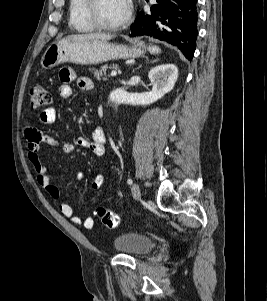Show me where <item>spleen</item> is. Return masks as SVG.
I'll use <instances>...</instances> for the list:
<instances>
[{"mask_svg": "<svg viewBox=\"0 0 267 301\" xmlns=\"http://www.w3.org/2000/svg\"><path fill=\"white\" fill-rule=\"evenodd\" d=\"M148 51L153 55H158L161 53V49L156 45L149 46Z\"/></svg>", "mask_w": 267, "mask_h": 301, "instance_id": "spleen-1", "label": "spleen"}]
</instances>
